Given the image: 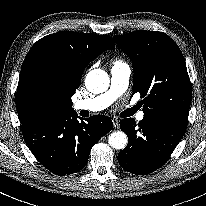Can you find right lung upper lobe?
<instances>
[{
    "mask_svg": "<svg viewBox=\"0 0 206 206\" xmlns=\"http://www.w3.org/2000/svg\"><path fill=\"white\" fill-rule=\"evenodd\" d=\"M108 49H115L108 35L62 31L38 40L24 59L17 87L16 106L22 129L36 125V97L42 88L54 100L58 119L75 113L71 97L80 86L85 67Z\"/></svg>",
    "mask_w": 206,
    "mask_h": 206,
    "instance_id": "1",
    "label": "right lung upper lobe"
}]
</instances>
